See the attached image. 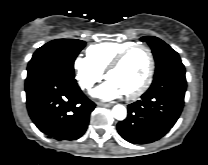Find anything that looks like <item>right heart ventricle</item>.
Wrapping results in <instances>:
<instances>
[{"instance_id": "e07e8e85", "label": "right heart ventricle", "mask_w": 208, "mask_h": 165, "mask_svg": "<svg viewBox=\"0 0 208 165\" xmlns=\"http://www.w3.org/2000/svg\"><path fill=\"white\" fill-rule=\"evenodd\" d=\"M132 44L130 41H103L90 45L86 54L99 70L104 71L120 51Z\"/></svg>"}]
</instances>
